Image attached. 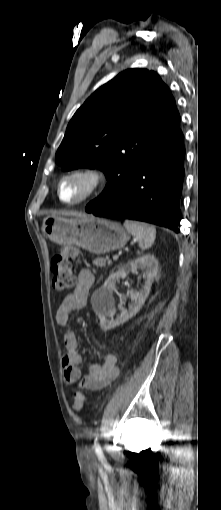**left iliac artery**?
<instances>
[{
	"label": "left iliac artery",
	"instance_id": "44dca946",
	"mask_svg": "<svg viewBox=\"0 0 221 510\" xmlns=\"http://www.w3.org/2000/svg\"><path fill=\"white\" fill-rule=\"evenodd\" d=\"M94 447L96 452H101V447L98 443V438L95 439Z\"/></svg>",
	"mask_w": 221,
	"mask_h": 510
}]
</instances>
